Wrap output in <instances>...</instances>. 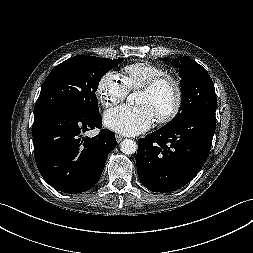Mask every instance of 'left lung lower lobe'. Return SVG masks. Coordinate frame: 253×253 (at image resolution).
Instances as JSON below:
<instances>
[{"label":"left lung lower lobe","mask_w":253,"mask_h":253,"mask_svg":"<svg viewBox=\"0 0 253 253\" xmlns=\"http://www.w3.org/2000/svg\"><path fill=\"white\" fill-rule=\"evenodd\" d=\"M215 127V113L199 112L173 128H160L139 139L136 164L141 183L153 192L186 185L204 165Z\"/></svg>","instance_id":"left-lung-lower-lobe-1"}]
</instances>
